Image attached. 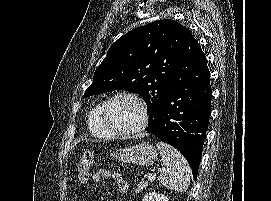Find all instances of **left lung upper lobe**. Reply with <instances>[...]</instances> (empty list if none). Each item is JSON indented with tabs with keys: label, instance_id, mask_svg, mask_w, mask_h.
Wrapping results in <instances>:
<instances>
[{
	"label": "left lung upper lobe",
	"instance_id": "5c2ea615",
	"mask_svg": "<svg viewBox=\"0 0 271 201\" xmlns=\"http://www.w3.org/2000/svg\"><path fill=\"white\" fill-rule=\"evenodd\" d=\"M185 28L164 19L120 37L96 69L84 97L119 89L138 93L147 104L148 127L154 126L171 85Z\"/></svg>",
	"mask_w": 271,
	"mask_h": 201
}]
</instances>
